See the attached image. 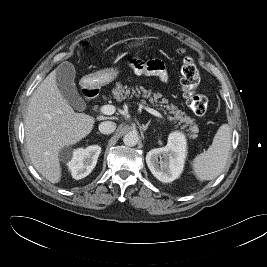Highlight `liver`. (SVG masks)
Instances as JSON below:
<instances>
[{
	"label": "liver",
	"instance_id": "obj_1",
	"mask_svg": "<svg viewBox=\"0 0 267 267\" xmlns=\"http://www.w3.org/2000/svg\"><path fill=\"white\" fill-rule=\"evenodd\" d=\"M95 118L74 112L56 84L53 70L34 91L25 117L26 147L34 168L49 182L61 180L59 152L93 129Z\"/></svg>",
	"mask_w": 267,
	"mask_h": 267
}]
</instances>
